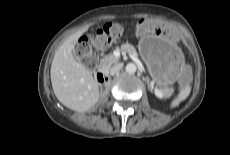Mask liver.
I'll use <instances>...</instances> for the list:
<instances>
[{"label":"liver","mask_w":230,"mask_h":155,"mask_svg":"<svg viewBox=\"0 0 230 155\" xmlns=\"http://www.w3.org/2000/svg\"><path fill=\"white\" fill-rule=\"evenodd\" d=\"M85 26L68 37L55 52L50 76L57 99L77 112L90 110L99 100V88L92 73L73 56L76 41L88 30Z\"/></svg>","instance_id":"1"}]
</instances>
